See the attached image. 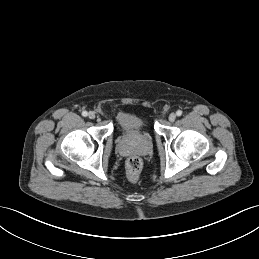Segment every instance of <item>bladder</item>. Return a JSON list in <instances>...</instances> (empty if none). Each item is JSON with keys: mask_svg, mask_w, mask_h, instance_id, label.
Returning a JSON list of instances; mask_svg holds the SVG:
<instances>
[{"mask_svg": "<svg viewBox=\"0 0 259 259\" xmlns=\"http://www.w3.org/2000/svg\"><path fill=\"white\" fill-rule=\"evenodd\" d=\"M118 122L122 126L144 125L146 124V119L139 114L122 113L118 117Z\"/></svg>", "mask_w": 259, "mask_h": 259, "instance_id": "bladder-1", "label": "bladder"}]
</instances>
